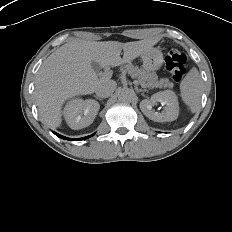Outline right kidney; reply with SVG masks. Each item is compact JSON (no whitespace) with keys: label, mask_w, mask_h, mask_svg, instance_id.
Segmentation results:
<instances>
[{"label":"right kidney","mask_w":232,"mask_h":232,"mask_svg":"<svg viewBox=\"0 0 232 232\" xmlns=\"http://www.w3.org/2000/svg\"><path fill=\"white\" fill-rule=\"evenodd\" d=\"M99 108L100 105L95 100H82L77 98L66 104L63 115L71 129L79 130L92 124Z\"/></svg>","instance_id":"ca27d5eb"}]
</instances>
